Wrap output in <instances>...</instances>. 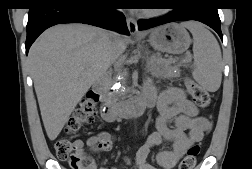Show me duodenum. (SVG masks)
Returning a JSON list of instances; mask_svg holds the SVG:
<instances>
[{
	"instance_id": "1",
	"label": "duodenum",
	"mask_w": 252,
	"mask_h": 169,
	"mask_svg": "<svg viewBox=\"0 0 252 169\" xmlns=\"http://www.w3.org/2000/svg\"><path fill=\"white\" fill-rule=\"evenodd\" d=\"M93 90L101 101V117L108 123L116 122L122 118L138 117L154 105L152 97L143 95L121 104L112 101L109 99L107 84L103 79L97 80L93 84Z\"/></svg>"
}]
</instances>
